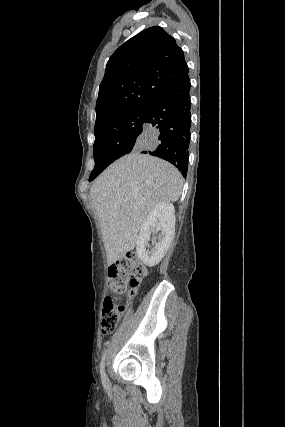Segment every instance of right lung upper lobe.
<instances>
[{
    "instance_id": "obj_1",
    "label": "right lung upper lobe",
    "mask_w": 285,
    "mask_h": 427,
    "mask_svg": "<svg viewBox=\"0 0 285 427\" xmlns=\"http://www.w3.org/2000/svg\"><path fill=\"white\" fill-rule=\"evenodd\" d=\"M188 76L183 50L161 27H150L110 57L99 87L95 127L122 112L147 105Z\"/></svg>"
}]
</instances>
